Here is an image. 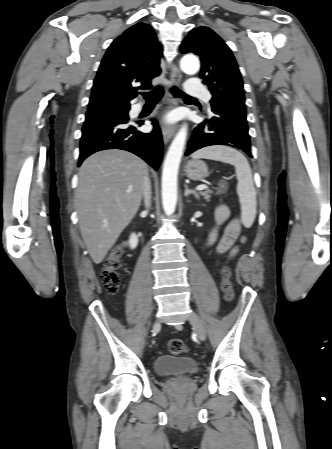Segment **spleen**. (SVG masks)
I'll use <instances>...</instances> for the list:
<instances>
[{
  "label": "spleen",
  "instance_id": "spleen-1",
  "mask_svg": "<svg viewBox=\"0 0 332 449\" xmlns=\"http://www.w3.org/2000/svg\"><path fill=\"white\" fill-rule=\"evenodd\" d=\"M193 159L204 158L234 165L237 178V194L241 204V219L245 227L252 226L256 217V191L252 171L247 159L237 150L226 146L200 149L192 154Z\"/></svg>",
  "mask_w": 332,
  "mask_h": 449
}]
</instances>
